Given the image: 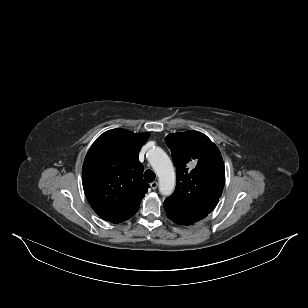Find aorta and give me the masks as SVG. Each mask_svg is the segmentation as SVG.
I'll return each instance as SVG.
<instances>
[{
	"label": "aorta",
	"mask_w": 308,
	"mask_h": 308,
	"mask_svg": "<svg viewBox=\"0 0 308 308\" xmlns=\"http://www.w3.org/2000/svg\"><path fill=\"white\" fill-rule=\"evenodd\" d=\"M147 157L158 175L160 193L165 196L171 195L175 188V172L170 158L159 147L150 149Z\"/></svg>",
	"instance_id": "aorta-1"
}]
</instances>
